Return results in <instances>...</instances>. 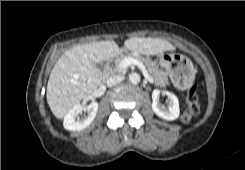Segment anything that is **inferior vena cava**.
<instances>
[{"label": "inferior vena cava", "mask_w": 245, "mask_h": 170, "mask_svg": "<svg viewBox=\"0 0 245 170\" xmlns=\"http://www.w3.org/2000/svg\"><path fill=\"white\" fill-rule=\"evenodd\" d=\"M124 80V76L122 75H113L111 77H109L106 81V85L108 87H112L120 82H122Z\"/></svg>", "instance_id": "inferior-vena-cava-1"}]
</instances>
